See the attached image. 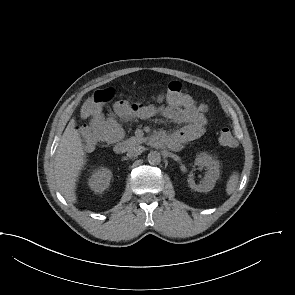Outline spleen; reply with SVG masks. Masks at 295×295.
Listing matches in <instances>:
<instances>
[{"label":"spleen","instance_id":"obj_1","mask_svg":"<svg viewBox=\"0 0 295 295\" xmlns=\"http://www.w3.org/2000/svg\"><path fill=\"white\" fill-rule=\"evenodd\" d=\"M239 183V173L238 172H233L226 184V192L228 195H231L237 188Z\"/></svg>","mask_w":295,"mask_h":295}]
</instances>
